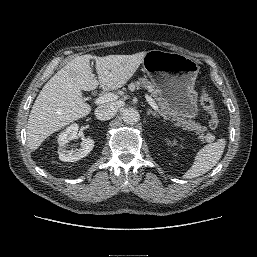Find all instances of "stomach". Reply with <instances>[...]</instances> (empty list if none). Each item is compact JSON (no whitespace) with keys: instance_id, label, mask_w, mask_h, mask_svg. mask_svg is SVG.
I'll return each instance as SVG.
<instances>
[{"instance_id":"stomach-1","label":"stomach","mask_w":257,"mask_h":257,"mask_svg":"<svg viewBox=\"0 0 257 257\" xmlns=\"http://www.w3.org/2000/svg\"><path fill=\"white\" fill-rule=\"evenodd\" d=\"M142 64L172 110L189 120L197 117L198 92L194 86L200 67L194 58L175 52L151 50L146 52Z\"/></svg>"}]
</instances>
